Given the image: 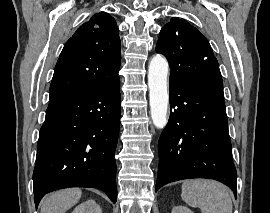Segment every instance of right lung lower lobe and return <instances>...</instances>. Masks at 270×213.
<instances>
[{
	"instance_id": "1",
	"label": "right lung lower lobe",
	"mask_w": 270,
	"mask_h": 213,
	"mask_svg": "<svg viewBox=\"0 0 270 213\" xmlns=\"http://www.w3.org/2000/svg\"><path fill=\"white\" fill-rule=\"evenodd\" d=\"M119 126L120 79L50 100L33 172L36 208L46 193L68 187L99 188L115 203Z\"/></svg>"
}]
</instances>
